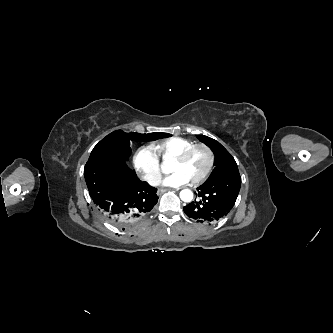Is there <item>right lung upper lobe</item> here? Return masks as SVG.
<instances>
[{
    "mask_svg": "<svg viewBox=\"0 0 333 333\" xmlns=\"http://www.w3.org/2000/svg\"><path fill=\"white\" fill-rule=\"evenodd\" d=\"M152 134L166 135L167 133H152Z\"/></svg>",
    "mask_w": 333,
    "mask_h": 333,
    "instance_id": "1",
    "label": "right lung upper lobe"
}]
</instances>
